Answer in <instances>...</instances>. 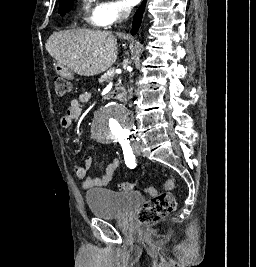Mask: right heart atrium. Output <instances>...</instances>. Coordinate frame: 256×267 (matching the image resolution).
Returning a JSON list of instances; mask_svg holds the SVG:
<instances>
[{"mask_svg": "<svg viewBox=\"0 0 256 267\" xmlns=\"http://www.w3.org/2000/svg\"><path fill=\"white\" fill-rule=\"evenodd\" d=\"M123 18V12L117 9L112 15L107 18H103L98 12H95L93 17V22L99 27H110L113 23L120 21Z\"/></svg>", "mask_w": 256, "mask_h": 267, "instance_id": "d8ad5b80", "label": "right heart atrium"}]
</instances>
